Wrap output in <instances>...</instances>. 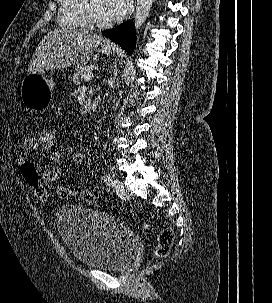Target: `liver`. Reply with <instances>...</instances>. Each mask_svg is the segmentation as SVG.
Here are the masks:
<instances>
[{"mask_svg":"<svg viewBox=\"0 0 272 303\" xmlns=\"http://www.w3.org/2000/svg\"><path fill=\"white\" fill-rule=\"evenodd\" d=\"M105 39L87 29L57 28L39 43L28 66V74L85 65Z\"/></svg>","mask_w":272,"mask_h":303,"instance_id":"obj_1","label":"liver"}]
</instances>
